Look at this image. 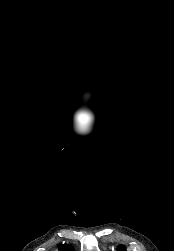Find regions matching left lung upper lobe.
Wrapping results in <instances>:
<instances>
[{"instance_id":"1","label":"left lung upper lobe","mask_w":174,"mask_h":251,"mask_svg":"<svg viewBox=\"0 0 174 251\" xmlns=\"http://www.w3.org/2000/svg\"><path fill=\"white\" fill-rule=\"evenodd\" d=\"M118 251H125L124 246H119V247H118Z\"/></svg>"}]
</instances>
